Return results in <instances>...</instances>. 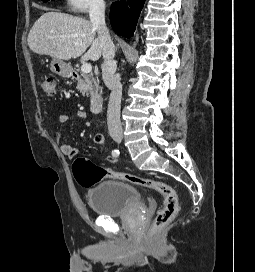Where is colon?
I'll use <instances>...</instances> for the list:
<instances>
[{
	"label": "colon",
	"instance_id": "colon-1",
	"mask_svg": "<svg viewBox=\"0 0 255 272\" xmlns=\"http://www.w3.org/2000/svg\"><path fill=\"white\" fill-rule=\"evenodd\" d=\"M40 86L46 95L53 97L56 92L55 76L53 74L45 75L41 80ZM72 170L76 181L83 187H91L102 179L110 178L127 181L159 192L163 196L164 203L153 221L152 230L154 231L170 224L178 213L179 201L177 192L172 186L164 182L106 169L84 157L74 161Z\"/></svg>",
	"mask_w": 255,
	"mask_h": 272
}]
</instances>
